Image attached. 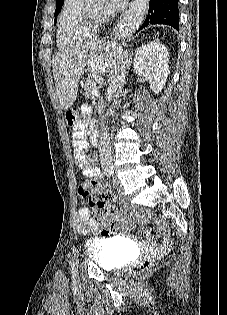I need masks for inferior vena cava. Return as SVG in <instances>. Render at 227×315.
Segmentation results:
<instances>
[{
    "instance_id": "obj_1",
    "label": "inferior vena cava",
    "mask_w": 227,
    "mask_h": 315,
    "mask_svg": "<svg viewBox=\"0 0 227 315\" xmlns=\"http://www.w3.org/2000/svg\"><path fill=\"white\" fill-rule=\"evenodd\" d=\"M126 52L121 53L119 55L117 64L114 67L113 75L111 77V87L113 89V92L116 94V99H114L115 108L118 109V103L120 101L117 100V97L119 98L120 94H122V88L125 84L126 79ZM120 106V104H119ZM112 129H115V127H112ZM102 167H112V163H107L105 160L101 159Z\"/></svg>"
}]
</instances>
